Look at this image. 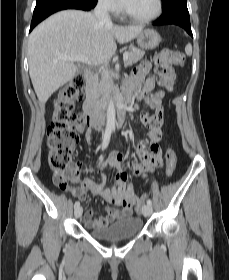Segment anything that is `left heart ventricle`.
<instances>
[{"label": "left heart ventricle", "mask_w": 229, "mask_h": 280, "mask_svg": "<svg viewBox=\"0 0 229 280\" xmlns=\"http://www.w3.org/2000/svg\"><path fill=\"white\" fill-rule=\"evenodd\" d=\"M124 6L132 15L144 17L155 11L156 0H128Z\"/></svg>", "instance_id": "left-heart-ventricle-1"}]
</instances>
